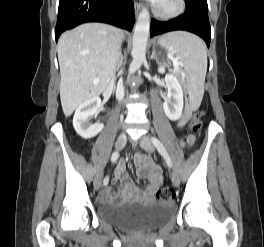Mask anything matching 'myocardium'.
<instances>
[{
    "mask_svg": "<svg viewBox=\"0 0 264 247\" xmlns=\"http://www.w3.org/2000/svg\"><path fill=\"white\" fill-rule=\"evenodd\" d=\"M172 6L170 9L162 10L157 4L153 13L156 17L160 19H173L182 15L186 10V1L185 0H172Z\"/></svg>",
    "mask_w": 264,
    "mask_h": 247,
    "instance_id": "f54148a6",
    "label": "myocardium"
}]
</instances>
